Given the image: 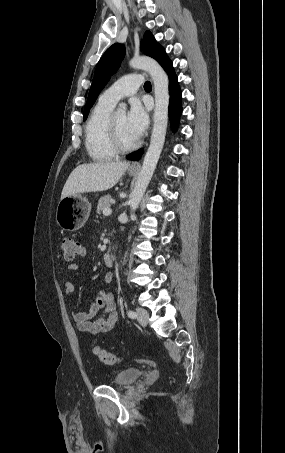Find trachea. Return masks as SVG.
I'll return each mask as SVG.
<instances>
[{"label": "trachea", "instance_id": "3493384b", "mask_svg": "<svg viewBox=\"0 0 285 453\" xmlns=\"http://www.w3.org/2000/svg\"><path fill=\"white\" fill-rule=\"evenodd\" d=\"M144 88H151V83H150V81H146V82H145Z\"/></svg>", "mask_w": 285, "mask_h": 453}]
</instances>
